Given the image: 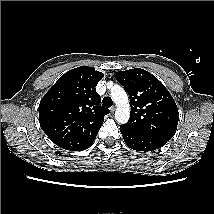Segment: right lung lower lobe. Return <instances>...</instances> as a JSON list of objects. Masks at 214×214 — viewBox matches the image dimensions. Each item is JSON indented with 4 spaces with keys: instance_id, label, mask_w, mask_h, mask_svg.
Returning <instances> with one entry per match:
<instances>
[{
    "instance_id": "98d812e1",
    "label": "right lung lower lobe",
    "mask_w": 214,
    "mask_h": 214,
    "mask_svg": "<svg viewBox=\"0 0 214 214\" xmlns=\"http://www.w3.org/2000/svg\"><path fill=\"white\" fill-rule=\"evenodd\" d=\"M93 142H94V141H93ZM93 142H92V143H93ZM92 143H91V144H92ZM91 144H90V145H91ZM90 145H89V146H90ZM89 146H88V147H89ZM88 147H87V148H88ZM85 149H86V148H85Z\"/></svg>"
}]
</instances>
